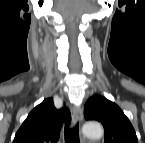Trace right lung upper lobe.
I'll return each instance as SVG.
<instances>
[{
    "label": "right lung upper lobe",
    "mask_w": 145,
    "mask_h": 143,
    "mask_svg": "<svg viewBox=\"0 0 145 143\" xmlns=\"http://www.w3.org/2000/svg\"><path fill=\"white\" fill-rule=\"evenodd\" d=\"M70 120L69 110H57L53 99L47 98L29 113L17 131L14 143H56L62 124H69Z\"/></svg>",
    "instance_id": "1"
}]
</instances>
